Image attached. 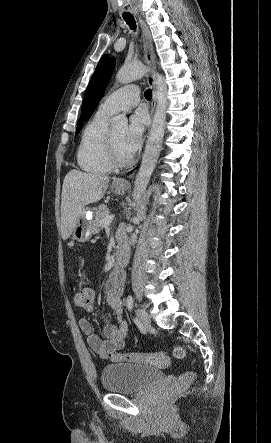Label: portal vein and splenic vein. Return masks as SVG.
<instances>
[{
	"label": "portal vein and splenic vein",
	"instance_id": "1",
	"mask_svg": "<svg viewBox=\"0 0 271 443\" xmlns=\"http://www.w3.org/2000/svg\"><path fill=\"white\" fill-rule=\"evenodd\" d=\"M112 220H114V216H107V218H104V220H101V225H103V227H105V225H109V223L112 222Z\"/></svg>",
	"mask_w": 271,
	"mask_h": 443
}]
</instances>
